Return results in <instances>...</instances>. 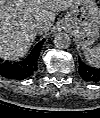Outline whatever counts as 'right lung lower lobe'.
<instances>
[{"label":"right lung lower lobe","mask_w":100,"mask_h":118,"mask_svg":"<svg viewBox=\"0 0 100 118\" xmlns=\"http://www.w3.org/2000/svg\"><path fill=\"white\" fill-rule=\"evenodd\" d=\"M43 42L44 40L38 43L32 53L19 62H2L0 64V75L16 80H23L32 76L38 69V58Z\"/></svg>","instance_id":"obj_1"}]
</instances>
